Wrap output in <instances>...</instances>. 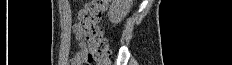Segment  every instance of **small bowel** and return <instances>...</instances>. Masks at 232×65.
Returning a JSON list of instances; mask_svg holds the SVG:
<instances>
[{
  "label": "small bowel",
  "mask_w": 232,
  "mask_h": 65,
  "mask_svg": "<svg viewBox=\"0 0 232 65\" xmlns=\"http://www.w3.org/2000/svg\"><path fill=\"white\" fill-rule=\"evenodd\" d=\"M75 38L80 42L79 51L70 60L71 65H85L88 62L86 53L85 33L81 22L74 26Z\"/></svg>",
  "instance_id": "1"
}]
</instances>
